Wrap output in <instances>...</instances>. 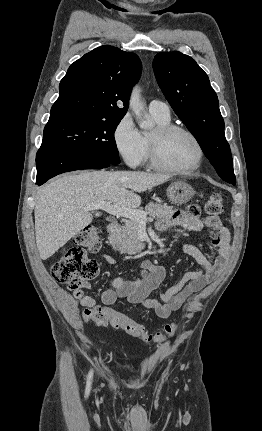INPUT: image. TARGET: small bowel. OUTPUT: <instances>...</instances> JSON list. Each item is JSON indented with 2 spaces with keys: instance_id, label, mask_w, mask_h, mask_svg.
<instances>
[{
  "instance_id": "small-bowel-1",
  "label": "small bowel",
  "mask_w": 262,
  "mask_h": 431,
  "mask_svg": "<svg viewBox=\"0 0 262 431\" xmlns=\"http://www.w3.org/2000/svg\"><path fill=\"white\" fill-rule=\"evenodd\" d=\"M173 226H182L189 231H199L203 227L212 230V243L217 249V257L211 263L201 250L186 244L183 250L193 257L199 264L200 270L184 274L181 281L168 288L160 296V300L151 297V294L160 286L165 277V269L151 261L141 264V278L126 279L117 277L111 282L112 288L102 293L101 304L85 294L84 290L78 289L73 292V297L84 307V316L92 317L98 310L102 316L110 317L116 314L111 310L115 302L123 298L129 304H139L147 309H152L160 318H168L172 312L179 310L185 301L193 294L201 291L216 276L217 272L226 264L230 251V233L218 217H205L185 214L174 211L170 220L159 223L161 231H167ZM107 264H113V259L105 256ZM107 324V323H103Z\"/></svg>"
}]
</instances>
